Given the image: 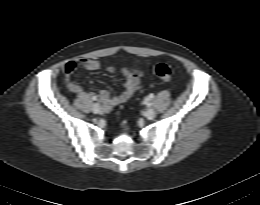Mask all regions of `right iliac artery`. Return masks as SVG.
I'll list each match as a JSON object with an SVG mask.
<instances>
[{
  "mask_svg": "<svg viewBox=\"0 0 260 205\" xmlns=\"http://www.w3.org/2000/svg\"><path fill=\"white\" fill-rule=\"evenodd\" d=\"M92 98H93V100H97V97H96V96H93Z\"/></svg>",
  "mask_w": 260,
  "mask_h": 205,
  "instance_id": "82829eb1",
  "label": "right iliac artery"
}]
</instances>
